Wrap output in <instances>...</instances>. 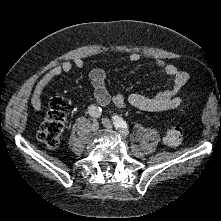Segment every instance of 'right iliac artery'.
Returning a JSON list of instances; mask_svg holds the SVG:
<instances>
[{
  "instance_id": "82829eb1",
  "label": "right iliac artery",
  "mask_w": 221,
  "mask_h": 221,
  "mask_svg": "<svg viewBox=\"0 0 221 221\" xmlns=\"http://www.w3.org/2000/svg\"><path fill=\"white\" fill-rule=\"evenodd\" d=\"M88 112L92 117L99 118L101 116L102 109L95 105H91L88 108Z\"/></svg>"
}]
</instances>
